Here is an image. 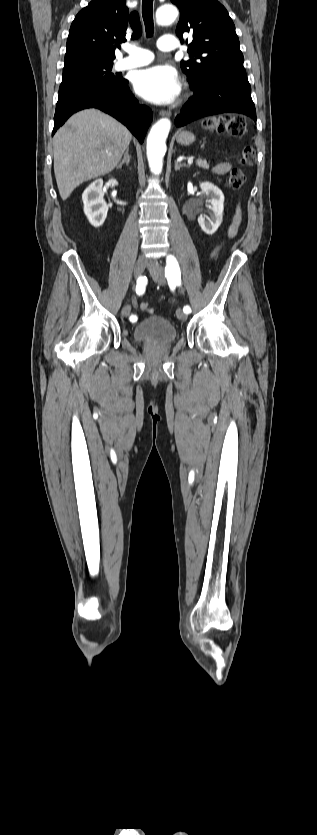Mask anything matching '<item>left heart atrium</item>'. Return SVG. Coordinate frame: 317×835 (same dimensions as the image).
I'll return each instance as SVG.
<instances>
[{"instance_id":"39dd6f15","label":"left heart atrium","mask_w":317,"mask_h":835,"mask_svg":"<svg viewBox=\"0 0 317 835\" xmlns=\"http://www.w3.org/2000/svg\"><path fill=\"white\" fill-rule=\"evenodd\" d=\"M134 88L138 95L155 104L173 102L179 95L181 83L175 69L155 65L136 73Z\"/></svg>"}]
</instances>
